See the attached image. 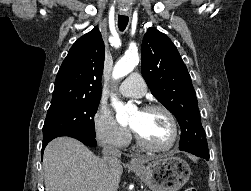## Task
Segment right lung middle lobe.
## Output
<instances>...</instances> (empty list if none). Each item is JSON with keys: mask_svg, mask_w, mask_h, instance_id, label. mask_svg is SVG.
I'll return each instance as SVG.
<instances>
[{"mask_svg": "<svg viewBox=\"0 0 251 191\" xmlns=\"http://www.w3.org/2000/svg\"><path fill=\"white\" fill-rule=\"evenodd\" d=\"M99 101L69 102L50 106L43 126V142L74 131L95 136L94 115Z\"/></svg>", "mask_w": 251, "mask_h": 191, "instance_id": "right-lung-middle-lobe-1", "label": "right lung middle lobe"}]
</instances>
